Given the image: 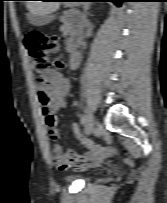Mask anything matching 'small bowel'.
<instances>
[{"label":"small bowel","mask_w":167,"mask_h":203,"mask_svg":"<svg viewBox=\"0 0 167 203\" xmlns=\"http://www.w3.org/2000/svg\"><path fill=\"white\" fill-rule=\"evenodd\" d=\"M39 85H43L50 95L48 103L42 105V116L52 141L50 146L52 160L60 170L95 168L100 166L106 158L117 154L118 151L115 147L104 146L85 138L81 126L76 122L72 124V131L89 150L83 154H78L73 150L63 151L61 144L57 141L59 134L56 128L55 113L68 104L67 96L71 88L70 78L63 71L51 69L40 75L37 80V86Z\"/></svg>","instance_id":"1"}]
</instances>
